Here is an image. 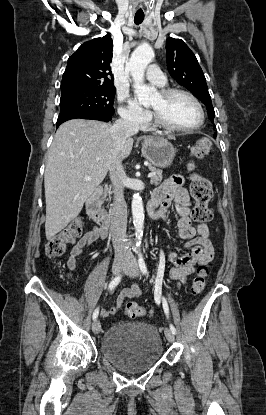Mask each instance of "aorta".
<instances>
[{
    "label": "aorta",
    "mask_w": 266,
    "mask_h": 415,
    "mask_svg": "<svg viewBox=\"0 0 266 415\" xmlns=\"http://www.w3.org/2000/svg\"><path fill=\"white\" fill-rule=\"evenodd\" d=\"M153 58L154 51L151 46L142 44L133 51L129 61L126 63V69L130 71L133 78L134 93L138 97L139 102L144 106L149 105L156 95V89L146 85L144 82L145 69ZM132 217L138 240L137 245L139 246L144 227V208L139 194L133 195Z\"/></svg>",
    "instance_id": "1"
}]
</instances>
